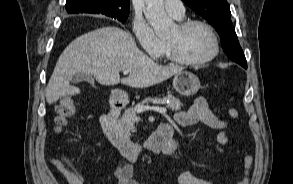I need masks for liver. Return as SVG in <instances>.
I'll use <instances>...</instances> for the list:
<instances>
[{"mask_svg":"<svg viewBox=\"0 0 293 184\" xmlns=\"http://www.w3.org/2000/svg\"><path fill=\"white\" fill-rule=\"evenodd\" d=\"M129 76L120 78V71ZM180 66H161L138 49L127 31L114 26L95 29L73 40L60 55L46 87L49 105L61 97L77 95L80 89L70 85L77 73L92 74L101 85L120 82L134 88H146L181 72Z\"/></svg>","mask_w":293,"mask_h":184,"instance_id":"6515ba94","label":"liver"}]
</instances>
